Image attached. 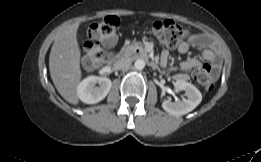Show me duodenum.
<instances>
[{
	"instance_id": "duodenum-1",
	"label": "duodenum",
	"mask_w": 261,
	"mask_h": 162,
	"mask_svg": "<svg viewBox=\"0 0 261 162\" xmlns=\"http://www.w3.org/2000/svg\"><path fill=\"white\" fill-rule=\"evenodd\" d=\"M133 53L136 54L137 56L145 59L147 61V63L150 64L151 66L155 67L157 65L156 62L148 56V53L145 49L135 48L133 50ZM119 63H120V58L117 57V55H115L113 52H108L106 55V58L104 60V65H105L104 68L111 70V69H114Z\"/></svg>"
}]
</instances>
